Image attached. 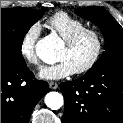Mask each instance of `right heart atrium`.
I'll use <instances>...</instances> for the list:
<instances>
[{
    "instance_id": "right-heart-atrium-1",
    "label": "right heart atrium",
    "mask_w": 123,
    "mask_h": 123,
    "mask_svg": "<svg viewBox=\"0 0 123 123\" xmlns=\"http://www.w3.org/2000/svg\"><path fill=\"white\" fill-rule=\"evenodd\" d=\"M39 35V25L37 23L31 24L23 33L19 44L21 56L27 63L34 66L39 65V59L35 51V46Z\"/></svg>"
}]
</instances>
